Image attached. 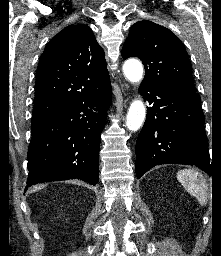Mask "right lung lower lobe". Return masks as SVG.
<instances>
[{
	"mask_svg": "<svg viewBox=\"0 0 221 256\" xmlns=\"http://www.w3.org/2000/svg\"><path fill=\"white\" fill-rule=\"evenodd\" d=\"M112 88L32 119L27 187L47 181L81 179L96 185L101 131Z\"/></svg>",
	"mask_w": 221,
	"mask_h": 256,
	"instance_id": "right-lung-lower-lobe-1",
	"label": "right lung lower lobe"
}]
</instances>
